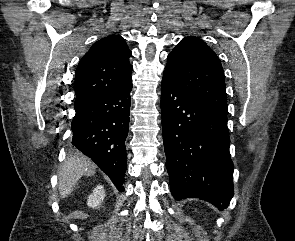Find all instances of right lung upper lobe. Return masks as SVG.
I'll return each instance as SVG.
<instances>
[{
	"mask_svg": "<svg viewBox=\"0 0 295 241\" xmlns=\"http://www.w3.org/2000/svg\"><path fill=\"white\" fill-rule=\"evenodd\" d=\"M131 55L125 40L119 35L105 37L93 44L76 69V101L132 82Z\"/></svg>",
	"mask_w": 295,
	"mask_h": 241,
	"instance_id": "obj_1",
	"label": "right lung upper lobe"
}]
</instances>
